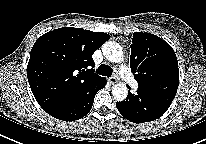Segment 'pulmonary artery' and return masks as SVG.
Masks as SVG:
<instances>
[{
	"label": "pulmonary artery",
	"instance_id": "obj_1",
	"mask_svg": "<svg viewBox=\"0 0 206 144\" xmlns=\"http://www.w3.org/2000/svg\"><path fill=\"white\" fill-rule=\"evenodd\" d=\"M119 73L125 80L130 82L135 89H137V83L133 80V78L130 76L128 70L125 67H121Z\"/></svg>",
	"mask_w": 206,
	"mask_h": 144
}]
</instances>
